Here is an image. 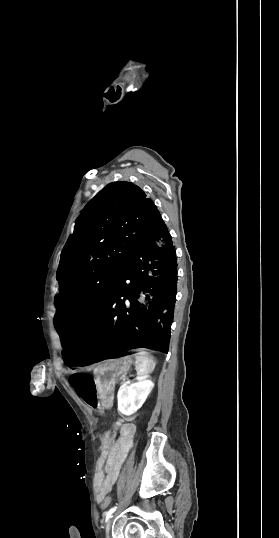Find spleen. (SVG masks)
<instances>
[{"label": "spleen", "instance_id": "3e777b00", "mask_svg": "<svg viewBox=\"0 0 279 538\" xmlns=\"http://www.w3.org/2000/svg\"><path fill=\"white\" fill-rule=\"evenodd\" d=\"M137 352L138 354H134V356L137 360L138 374H140V376L151 374L156 366L154 360H152L148 352H144V350H137Z\"/></svg>", "mask_w": 279, "mask_h": 538}]
</instances>
